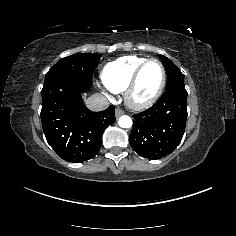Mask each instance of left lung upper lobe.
<instances>
[{"mask_svg":"<svg viewBox=\"0 0 236 236\" xmlns=\"http://www.w3.org/2000/svg\"><path fill=\"white\" fill-rule=\"evenodd\" d=\"M159 57L167 72L168 80L166 89L176 85H184V76L179 68L167 57L163 55H159Z\"/></svg>","mask_w":236,"mask_h":236,"instance_id":"obj_1","label":"left lung upper lobe"}]
</instances>
